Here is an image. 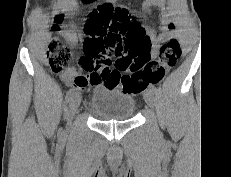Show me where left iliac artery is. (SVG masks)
<instances>
[{"instance_id":"1","label":"left iliac artery","mask_w":231,"mask_h":177,"mask_svg":"<svg viewBox=\"0 0 231 177\" xmlns=\"http://www.w3.org/2000/svg\"><path fill=\"white\" fill-rule=\"evenodd\" d=\"M149 89L153 92V93H157V88L154 85H150Z\"/></svg>"}]
</instances>
